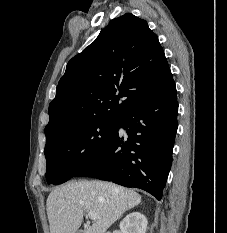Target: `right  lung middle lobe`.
Listing matches in <instances>:
<instances>
[{"mask_svg":"<svg viewBox=\"0 0 227 233\" xmlns=\"http://www.w3.org/2000/svg\"><path fill=\"white\" fill-rule=\"evenodd\" d=\"M117 119L95 120L46 142V179L58 185L74 177L104 147L117 127Z\"/></svg>","mask_w":227,"mask_h":233,"instance_id":"dd1d6c3e","label":"right lung middle lobe"}]
</instances>
